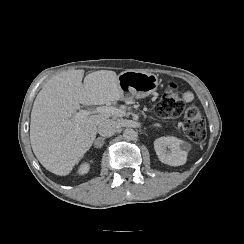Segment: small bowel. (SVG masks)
Listing matches in <instances>:
<instances>
[{"mask_svg":"<svg viewBox=\"0 0 244 244\" xmlns=\"http://www.w3.org/2000/svg\"><path fill=\"white\" fill-rule=\"evenodd\" d=\"M183 99L185 102L189 103L194 100V94L190 91H186L183 93Z\"/></svg>","mask_w":244,"mask_h":244,"instance_id":"small-bowel-1","label":"small bowel"}]
</instances>
